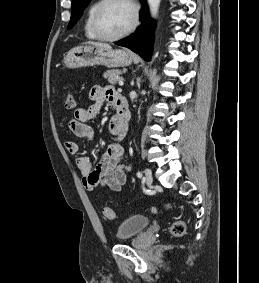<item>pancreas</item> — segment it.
<instances>
[{
	"instance_id": "cf45deb5",
	"label": "pancreas",
	"mask_w": 259,
	"mask_h": 283,
	"mask_svg": "<svg viewBox=\"0 0 259 283\" xmlns=\"http://www.w3.org/2000/svg\"><path fill=\"white\" fill-rule=\"evenodd\" d=\"M122 74L121 70H108L104 73V78L108 80V82L114 85L118 80L119 76Z\"/></svg>"
}]
</instances>
